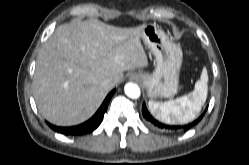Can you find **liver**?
Instances as JSON below:
<instances>
[{"label":"liver","mask_w":249,"mask_h":165,"mask_svg":"<svg viewBox=\"0 0 249 165\" xmlns=\"http://www.w3.org/2000/svg\"><path fill=\"white\" fill-rule=\"evenodd\" d=\"M143 28H119L97 19L60 25L36 61L33 95L42 116L58 126L93 116L113 88L103 87L104 79L116 85L124 71L148 65L140 41Z\"/></svg>","instance_id":"obj_1"}]
</instances>
